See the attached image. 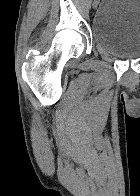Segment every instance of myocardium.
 <instances>
[{
  "mask_svg": "<svg viewBox=\"0 0 140 196\" xmlns=\"http://www.w3.org/2000/svg\"><path fill=\"white\" fill-rule=\"evenodd\" d=\"M88 192H104V191H88ZM121 192H125V191H121Z\"/></svg>",
  "mask_w": 140,
  "mask_h": 196,
  "instance_id": "myocardium-1",
  "label": "myocardium"
}]
</instances>
